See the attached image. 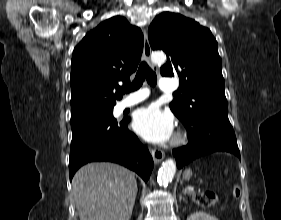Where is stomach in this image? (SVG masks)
Segmentation results:
<instances>
[{"label": "stomach", "instance_id": "obj_1", "mask_svg": "<svg viewBox=\"0 0 281 220\" xmlns=\"http://www.w3.org/2000/svg\"><path fill=\"white\" fill-rule=\"evenodd\" d=\"M191 176H192V171L190 169H187V170L184 171L183 177L185 179H189Z\"/></svg>", "mask_w": 281, "mask_h": 220}]
</instances>
